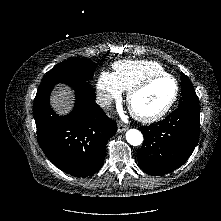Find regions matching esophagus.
<instances>
[{"label": "esophagus", "mask_w": 221, "mask_h": 221, "mask_svg": "<svg viewBox=\"0 0 221 221\" xmlns=\"http://www.w3.org/2000/svg\"><path fill=\"white\" fill-rule=\"evenodd\" d=\"M127 129H128V127L126 125H124L121 122L118 123V132L119 133H122V132L126 131Z\"/></svg>", "instance_id": "obj_1"}]
</instances>
